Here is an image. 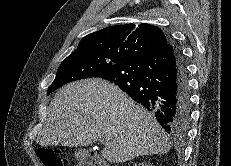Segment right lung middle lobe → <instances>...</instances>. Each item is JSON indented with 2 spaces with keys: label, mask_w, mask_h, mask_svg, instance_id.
<instances>
[{
  "label": "right lung middle lobe",
  "mask_w": 231,
  "mask_h": 166,
  "mask_svg": "<svg viewBox=\"0 0 231 166\" xmlns=\"http://www.w3.org/2000/svg\"><path fill=\"white\" fill-rule=\"evenodd\" d=\"M123 61L125 60L122 57L106 55L91 49L74 51L59 66L47 95L69 82L96 77Z\"/></svg>",
  "instance_id": "1"
}]
</instances>
